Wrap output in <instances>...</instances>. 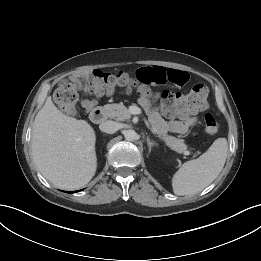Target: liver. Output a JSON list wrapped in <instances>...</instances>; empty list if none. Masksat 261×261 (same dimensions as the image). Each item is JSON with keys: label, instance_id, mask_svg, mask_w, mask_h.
<instances>
[{"label": "liver", "instance_id": "1", "mask_svg": "<svg viewBox=\"0 0 261 261\" xmlns=\"http://www.w3.org/2000/svg\"><path fill=\"white\" fill-rule=\"evenodd\" d=\"M96 136L85 120L67 116L48 97L37 113L31 138L33 161L40 173L62 189H78L95 175Z\"/></svg>", "mask_w": 261, "mask_h": 261}]
</instances>
